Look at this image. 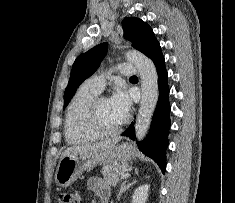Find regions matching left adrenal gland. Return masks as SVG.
Instances as JSON below:
<instances>
[{
  "label": "left adrenal gland",
  "instance_id": "1",
  "mask_svg": "<svg viewBox=\"0 0 235 203\" xmlns=\"http://www.w3.org/2000/svg\"><path fill=\"white\" fill-rule=\"evenodd\" d=\"M136 183V180L134 179L132 182L129 183L128 180H125L121 186H120V190L118 192V201L120 200V197L122 195V193H124L127 189H129L133 184Z\"/></svg>",
  "mask_w": 235,
  "mask_h": 203
}]
</instances>
